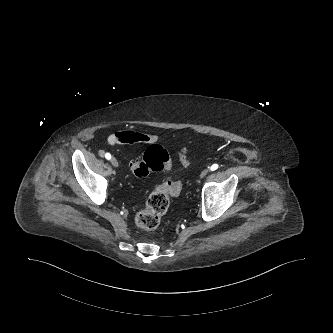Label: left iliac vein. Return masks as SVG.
Returning a JSON list of instances; mask_svg holds the SVG:
<instances>
[{
    "mask_svg": "<svg viewBox=\"0 0 333 333\" xmlns=\"http://www.w3.org/2000/svg\"><path fill=\"white\" fill-rule=\"evenodd\" d=\"M208 171V169L202 170V172L200 173V178H204L208 174Z\"/></svg>",
    "mask_w": 333,
    "mask_h": 333,
    "instance_id": "obj_1",
    "label": "left iliac vein"
}]
</instances>
